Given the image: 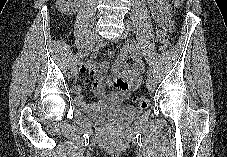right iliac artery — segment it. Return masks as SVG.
<instances>
[{
	"label": "right iliac artery",
	"instance_id": "obj_1",
	"mask_svg": "<svg viewBox=\"0 0 227 157\" xmlns=\"http://www.w3.org/2000/svg\"><path fill=\"white\" fill-rule=\"evenodd\" d=\"M98 50L99 47L97 42H94L93 45H90V48H80V51H78V54L76 55L75 63L80 61V58L81 56H83V53H96Z\"/></svg>",
	"mask_w": 227,
	"mask_h": 157
}]
</instances>
